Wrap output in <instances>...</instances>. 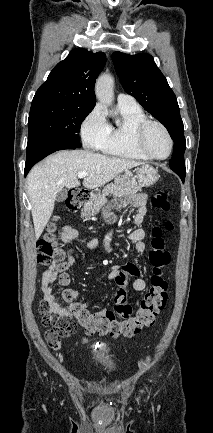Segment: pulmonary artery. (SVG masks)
<instances>
[{
  "mask_svg": "<svg viewBox=\"0 0 213 433\" xmlns=\"http://www.w3.org/2000/svg\"><path fill=\"white\" fill-rule=\"evenodd\" d=\"M118 104L123 105H138L134 97L131 95L120 93L117 97Z\"/></svg>",
  "mask_w": 213,
  "mask_h": 433,
  "instance_id": "obj_1",
  "label": "pulmonary artery"
}]
</instances>
